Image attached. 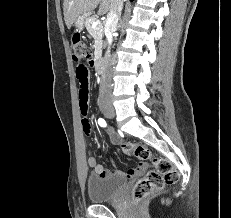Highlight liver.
I'll list each match as a JSON object with an SVG mask.
<instances>
[{
	"label": "liver",
	"mask_w": 231,
	"mask_h": 218,
	"mask_svg": "<svg viewBox=\"0 0 231 218\" xmlns=\"http://www.w3.org/2000/svg\"><path fill=\"white\" fill-rule=\"evenodd\" d=\"M100 4V5H99ZM113 0H64V20L68 29L80 15L89 16L99 5L98 14L103 15L111 10Z\"/></svg>",
	"instance_id": "6515ba94"
}]
</instances>
